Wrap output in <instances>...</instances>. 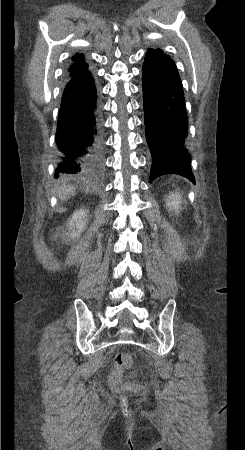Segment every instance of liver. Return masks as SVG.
<instances>
[{
  "label": "liver",
  "mask_w": 245,
  "mask_h": 450,
  "mask_svg": "<svg viewBox=\"0 0 245 450\" xmlns=\"http://www.w3.org/2000/svg\"><path fill=\"white\" fill-rule=\"evenodd\" d=\"M75 193V188L68 187L66 185L62 186L58 190V196L62 200L70 198Z\"/></svg>",
  "instance_id": "obj_1"
}]
</instances>
